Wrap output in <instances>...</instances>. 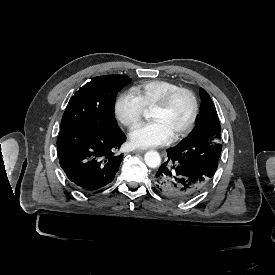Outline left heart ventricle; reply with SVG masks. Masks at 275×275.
I'll list each match as a JSON object with an SVG mask.
<instances>
[{"mask_svg":"<svg viewBox=\"0 0 275 275\" xmlns=\"http://www.w3.org/2000/svg\"><path fill=\"white\" fill-rule=\"evenodd\" d=\"M191 112L192 105L189 97L184 93H179L167 108L151 109L150 118L152 121H159L172 137L187 124Z\"/></svg>","mask_w":275,"mask_h":275,"instance_id":"obj_1","label":"left heart ventricle"}]
</instances>
